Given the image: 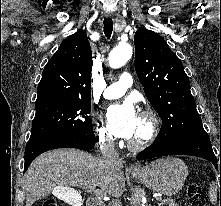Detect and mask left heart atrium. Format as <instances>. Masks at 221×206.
Listing matches in <instances>:
<instances>
[{"label": "left heart atrium", "instance_id": "1", "mask_svg": "<svg viewBox=\"0 0 221 206\" xmlns=\"http://www.w3.org/2000/svg\"><path fill=\"white\" fill-rule=\"evenodd\" d=\"M109 129L118 137L132 139L135 135L140 117L130 102L111 105L106 111Z\"/></svg>", "mask_w": 221, "mask_h": 206}]
</instances>
